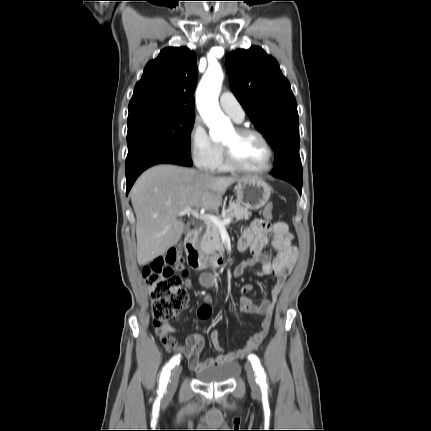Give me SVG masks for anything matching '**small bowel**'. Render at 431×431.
Segmentation results:
<instances>
[{"label":"small bowel","instance_id":"small-bowel-1","mask_svg":"<svg viewBox=\"0 0 431 431\" xmlns=\"http://www.w3.org/2000/svg\"><path fill=\"white\" fill-rule=\"evenodd\" d=\"M269 219H255L250 225L242 229L238 247L241 252L248 253L249 257L235 266L233 276L239 277L245 271H252L259 277L274 276L276 282L271 289V295L273 298H276L295 265L297 250L293 244V235L289 231L288 226L281 221L272 223ZM269 236H271V246L275 250L274 257L263 253L264 247L269 242ZM179 268L182 269L186 287L191 288L193 283L188 271L183 269L182 266ZM253 290L254 287L251 284L241 286L239 290L241 295L239 298V309L244 314L261 316L262 321L259 330L241 348L224 352L218 341L217 333L212 331L208 342L219 354L201 360L206 341L200 334H191L186 338L184 343H179L171 335L176 332V328L170 324L158 327L156 334L167 351L177 353V355H184L190 367L195 371L243 358L256 350L266 337L274 309V304L270 300L265 299L255 304L250 296ZM211 300L210 296L204 298V301L211 302ZM181 313V311L178 313L176 319H179Z\"/></svg>","mask_w":431,"mask_h":431}]
</instances>
